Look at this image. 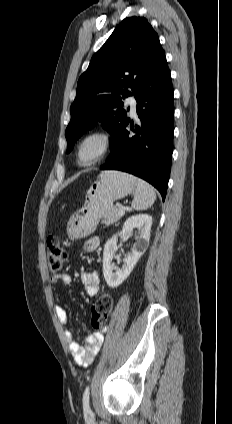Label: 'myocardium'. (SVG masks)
I'll list each match as a JSON object with an SVG mask.
<instances>
[{"mask_svg": "<svg viewBox=\"0 0 232 424\" xmlns=\"http://www.w3.org/2000/svg\"><path fill=\"white\" fill-rule=\"evenodd\" d=\"M90 139H97L100 142L99 149L90 158L83 156L82 150L84 144ZM112 148V138L108 131L104 129H94L84 134L78 141L75 148V159L79 166L89 167L103 160Z\"/></svg>", "mask_w": 232, "mask_h": 424, "instance_id": "1", "label": "myocardium"}]
</instances>
